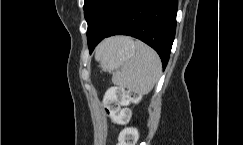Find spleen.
<instances>
[{
	"instance_id": "3e777b00",
	"label": "spleen",
	"mask_w": 243,
	"mask_h": 145,
	"mask_svg": "<svg viewBox=\"0 0 243 145\" xmlns=\"http://www.w3.org/2000/svg\"><path fill=\"white\" fill-rule=\"evenodd\" d=\"M135 54L112 75V82L140 95L149 93L160 78L162 64L158 54L141 41L134 42Z\"/></svg>"
}]
</instances>
